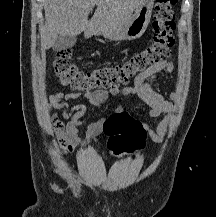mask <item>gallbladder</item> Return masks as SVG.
Returning a JSON list of instances; mask_svg holds the SVG:
<instances>
[{
	"label": "gallbladder",
	"instance_id": "bac80fb5",
	"mask_svg": "<svg viewBox=\"0 0 216 217\" xmlns=\"http://www.w3.org/2000/svg\"><path fill=\"white\" fill-rule=\"evenodd\" d=\"M76 41H77L76 36L58 35L52 48L54 51L65 50V49L73 47Z\"/></svg>",
	"mask_w": 216,
	"mask_h": 217
}]
</instances>
